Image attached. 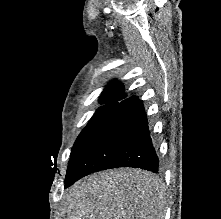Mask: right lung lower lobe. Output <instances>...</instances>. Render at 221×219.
<instances>
[{"mask_svg":"<svg viewBox=\"0 0 221 219\" xmlns=\"http://www.w3.org/2000/svg\"><path fill=\"white\" fill-rule=\"evenodd\" d=\"M117 167L159 172L147 115L135 96L118 103L71 155L65 188L85 175Z\"/></svg>","mask_w":221,"mask_h":219,"instance_id":"right-lung-lower-lobe-1","label":"right lung lower lobe"}]
</instances>
